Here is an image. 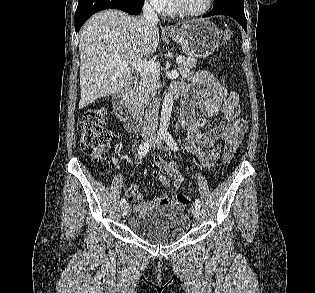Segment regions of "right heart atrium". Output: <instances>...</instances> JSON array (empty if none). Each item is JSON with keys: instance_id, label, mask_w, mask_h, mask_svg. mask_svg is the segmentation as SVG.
Instances as JSON below:
<instances>
[{"instance_id": "d8ad5b80", "label": "right heart atrium", "mask_w": 315, "mask_h": 293, "mask_svg": "<svg viewBox=\"0 0 315 293\" xmlns=\"http://www.w3.org/2000/svg\"><path fill=\"white\" fill-rule=\"evenodd\" d=\"M153 9L156 11H163L169 0H147Z\"/></svg>"}]
</instances>
